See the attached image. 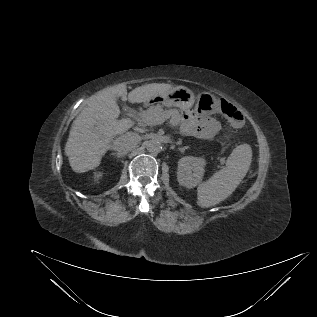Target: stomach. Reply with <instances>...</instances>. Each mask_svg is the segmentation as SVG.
Here are the masks:
<instances>
[{"instance_id": "0dacf381", "label": "stomach", "mask_w": 317, "mask_h": 317, "mask_svg": "<svg viewBox=\"0 0 317 317\" xmlns=\"http://www.w3.org/2000/svg\"><path fill=\"white\" fill-rule=\"evenodd\" d=\"M197 99V108L203 114H214L218 111L219 100L209 92L200 93L197 98L194 93L184 86H177L171 89L167 94L157 96L149 102L162 104L166 107H178L180 109L191 108Z\"/></svg>"}]
</instances>
